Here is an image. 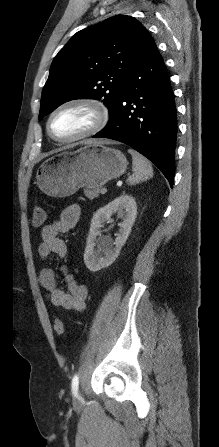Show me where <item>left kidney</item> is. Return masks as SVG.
Instances as JSON below:
<instances>
[{"instance_id":"obj_1","label":"left kidney","mask_w":219,"mask_h":447,"mask_svg":"<svg viewBox=\"0 0 219 447\" xmlns=\"http://www.w3.org/2000/svg\"><path fill=\"white\" fill-rule=\"evenodd\" d=\"M114 213H117L118 217L123 220L119 224L120 229L115 242L107 237L97 238L104 222L109 220ZM136 216L135 199L127 194L117 197L93 214L84 253V263L90 271L97 272L110 266L116 260L131 232ZM96 246L100 252L98 250L96 252Z\"/></svg>"}]
</instances>
